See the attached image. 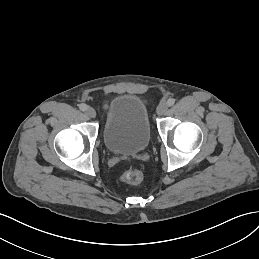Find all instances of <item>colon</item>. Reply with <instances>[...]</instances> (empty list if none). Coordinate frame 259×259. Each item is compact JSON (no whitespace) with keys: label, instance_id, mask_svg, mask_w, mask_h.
Wrapping results in <instances>:
<instances>
[{"label":"colon","instance_id":"obj_1","mask_svg":"<svg viewBox=\"0 0 259 259\" xmlns=\"http://www.w3.org/2000/svg\"><path fill=\"white\" fill-rule=\"evenodd\" d=\"M143 174L138 169H129L122 175V180L129 184H138L142 181Z\"/></svg>","mask_w":259,"mask_h":259}]
</instances>
